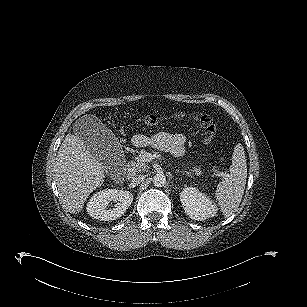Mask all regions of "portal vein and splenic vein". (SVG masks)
<instances>
[{"mask_svg": "<svg viewBox=\"0 0 307 307\" xmlns=\"http://www.w3.org/2000/svg\"><path fill=\"white\" fill-rule=\"evenodd\" d=\"M145 157L147 158V159H153V157H154V155H152V154H150V153H147L146 155H145Z\"/></svg>", "mask_w": 307, "mask_h": 307, "instance_id": "portal-vein-and-splenic-vein-1", "label": "portal vein and splenic vein"}]
</instances>
